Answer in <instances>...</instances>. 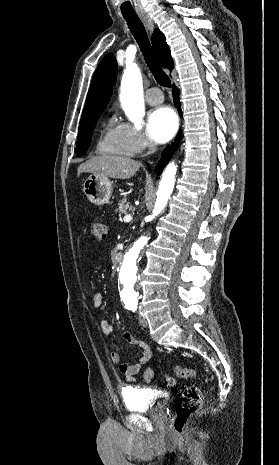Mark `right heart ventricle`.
Masks as SVG:
<instances>
[{
    "mask_svg": "<svg viewBox=\"0 0 279 465\" xmlns=\"http://www.w3.org/2000/svg\"><path fill=\"white\" fill-rule=\"evenodd\" d=\"M97 152L101 155L120 157H127L133 154L127 143L123 124L118 123L115 117H111L107 121L97 144Z\"/></svg>",
    "mask_w": 279,
    "mask_h": 465,
    "instance_id": "1",
    "label": "right heart ventricle"
}]
</instances>
